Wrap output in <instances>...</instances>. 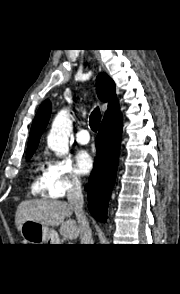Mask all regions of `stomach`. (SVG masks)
Segmentation results:
<instances>
[{
	"instance_id": "0dacf381",
	"label": "stomach",
	"mask_w": 180,
	"mask_h": 294,
	"mask_svg": "<svg viewBox=\"0 0 180 294\" xmlns=\"http://www.w3.org/2000/svg\"><path fill=\"white\" fill-rule=\"evenodd\" d=\"M20 234L25 244H54L57 233L53 229L41 223L27 220L20 230Z\"/></svg>"
}]
</instances>
